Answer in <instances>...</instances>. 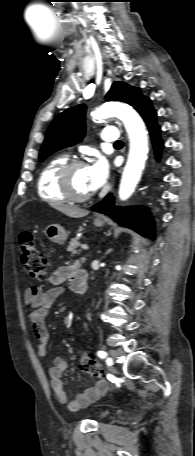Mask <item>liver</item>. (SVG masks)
<instances>
[{
	"label": "liver",
	"instance_id": "6515ba94",
	"mask_svg": "<svg viewBox=\"0 0 195 456\" xmlns=\"http://www.w3.org/2000/svg\"><path fill=\"white\" fill-rule=\"evenodd\" d=\"M49 204L54 209L62 212L63 214H65L71 218H81V217H85L89 214L88 210L81 209L77 206L64 204V203H60V202H53V203H49Z\"/></svg>",
	"mask_w": 195,
	"mask_h": 456
}]
</instances>
